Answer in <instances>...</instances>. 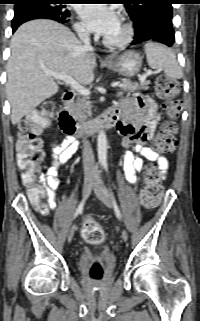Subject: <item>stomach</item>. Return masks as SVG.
Returning <instances> with one entry per match:
<instances>
[{"mask_svg": "<svg viewBox=\"0 0 200 321\" xmlns=\"http://www.w3.org/2000/svg\"><path fill=\"white\" fill-rule=\"evenodd\" d=\"M106 65L119 75L130 78L140 71L142 67V57L138 52L130 50L114 57Z\"/></svg>", "mask_w": 200, "mask_h": 321, "instance_id": "0dacf381", "label": "stomach"}]
</instances>
